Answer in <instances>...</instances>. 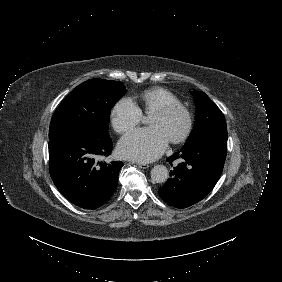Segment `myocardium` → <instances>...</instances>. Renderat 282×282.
I'll list each match as a JSON object with an SVG mask.
<instances>
[{"label":"myocardium","mask_w":282,"mask_h":282,"mask_svg":"<svg viewBox=\"0 0 282 282\" xmlns=\"http://www.w3.org/2000/svg\"><path fill=\"white\" fill-rule=\"evenodd\" d=\"M156 114L163 117H170L173 115H180L183 119V126L181 130L169 140L172 143L183 142L190 134L192 130V117L190 112L180 104H165L158 109L154 110L151 115Z\"/></svg>","instance_id":"obj_1"}]
</instances>
